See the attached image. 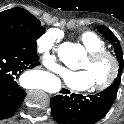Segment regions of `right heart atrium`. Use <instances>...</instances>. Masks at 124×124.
Returning <instances> with one entry per match:
<instances>
[{
    "instance_id": "d8ad5b80",
    "label": "right heart atrium",
    "mask_w": 124,
    "mask_h": 124,
    "mask_svg": "<svg viewBox=\"0 0 124 124\" xmlns=\"http://www.w3.org/2000/svg\"><path fill=\"white\" fill-rule=\"evenodd\" d=\"M57 40L58 33L54 30H48L41 34L36 41L37 52L42 63L51 70L58 69Z\"/></svg>"
}]
</instances>
